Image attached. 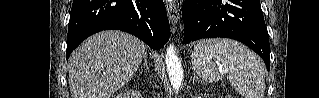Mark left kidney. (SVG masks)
<instances>
[{
    "label": "left kidney",
    "mask_w": 319,
    "mask_h": 98,
    "mask_svg": "<svg viewBox=\"0 0 319 98\" xmlns=\"http://www.w3.org/2000/svg\"><path fill=\"white\" fill-rule=\"evenodd\" d=\"M226 98H231V96H226Z\"/></svg>",
    "instance_id": "left-kidney-1"
}]
</instances>
